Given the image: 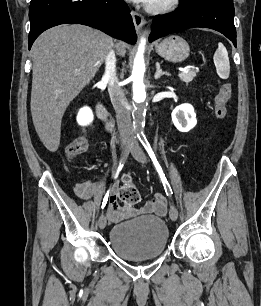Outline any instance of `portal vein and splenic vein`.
<instances>
[{
    "mask_svg": "<svg viewBox=\"0 0 261 306\" xmlns=\"http://www.w3.org/2000/svg\"><path fill=\"white\" fill-rule=\"evenodd\" d=\"M189 71H190L189 68L180 69V72H181V73H187V72H189Z\"/></svg>",
    "mask_w": 261,
    "mask_h": 306,
    "instance_id": "obj_1",
    "label": "portal vein and splenic vein"
}]
</instances>
